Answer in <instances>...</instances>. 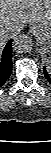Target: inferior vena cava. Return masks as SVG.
I'll return each mask as SVG.
<instances>
[{"mask_svg":"<svg viewBox=\"0 0 51 153\" xmlns=\"http://www.w3.org/2000/svg\"><path fill=\"white\" fill-rule=\"evenodd\" d=\"M22 29H23L22 27L16 28L14 32L12 33L13 36L19 34ZM7 39H8V34L6 32H1L0 33V45H3Z\"/></svg>","mask_w":51,"mask_h":153,"instance_id":"602c4592","label":"inferior vena cava"}]
</instances>
